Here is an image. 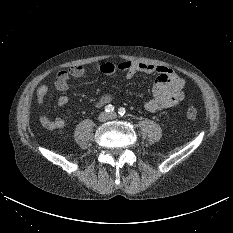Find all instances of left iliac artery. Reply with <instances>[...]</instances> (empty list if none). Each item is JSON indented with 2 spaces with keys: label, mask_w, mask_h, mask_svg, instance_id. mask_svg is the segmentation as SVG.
Masks as SVG:
<instances>
[{
  "label": "left iliac artery",
  "mask_w": 233,
  "mask_h": 233,
  "mask_svg": "<svg viewBox=\"0 0 233 233\" xmlns=\"http://www.w3.org/2000/svg\"><path fill=\"white\" fill-rule=\"evenodd\" d=\"M118 113H119L121 116H123V115L126 113L125 108H123V107L119 108Z\"/></svg>",
  "instance_id": "obj_1"
}]
</instances>
